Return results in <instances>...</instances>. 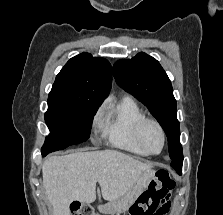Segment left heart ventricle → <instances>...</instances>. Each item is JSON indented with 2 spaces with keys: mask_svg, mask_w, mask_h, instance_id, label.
<instances>
[{
  "mask_svg": "<svg viewBox=\"0 0 223 215\" xmlns=\"http://www.w3.org/2000/svg\"><path fill=\"white\" fill-rule=\"evenodd\" d=\"M143 147L150 152H157L161 148V135L157 127L153 124H147L143 130Z\"/></svg>",
  "mask_w": 223,
  "mask_h": 215,
  "instance_id": "obj_1",
  "label": "left heart ventricle"
}]
</instances>
